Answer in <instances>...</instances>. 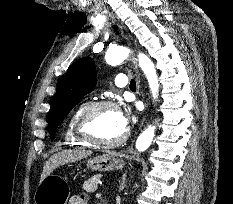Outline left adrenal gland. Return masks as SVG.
Masks as SVG:
<instances>
[{
	"mask_svg": "<svg viewBox=\"0 0 233 204\" xmlns=\"http://www.w3.org/2000/svg\"><path fill=\"white\" fill-rule=\"evenodd\" d=\"M125 178H126V173L123 174L122 176V180H121V183H120V190H123L125 188Z\"/></svg>",
	"mask_w": 233,
	"mask_h": 204,
	"instance_id": "1",
	"label": "left adrenal gland"
}]
</instances>
